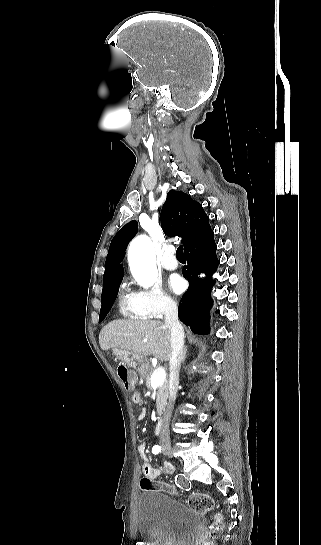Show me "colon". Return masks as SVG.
Instances as JSON below:
<instances>
[{"label": "colon", "instance_id": "obj_1", "mask_svg": "<svg viewBox=\"0 0 321 545\" xmlns=\"http://www.w3.org/2000/svg\"><path fill=\"white\" fill-rule=\"evenodd\" d=\"M117 374L126 388H129V389L133 388L134 376L132 372L126 366L124 365L118 366ZM141 488L146 491L161 490L170 494L175 493L174 488L171 487L170 485L163 482L154 481L153 479H150L148 477H144L141 480ZM187 504L194 510H197L202 513H209L214 508L213 499L208 494H205V493L192 494L187 499ZM222 529H223L222 516L221 514H216L214 522L210 528V536L217 537L222 532ZM205 545H210V544L205 543Z\"/></svg>", "mask_w": 321, "mask_h": 545}]
</instances>
